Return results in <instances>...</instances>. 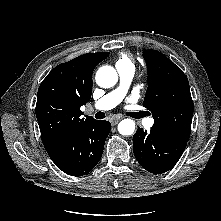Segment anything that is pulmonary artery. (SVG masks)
Here are the masks:
<instances>
[{
	"label": "pulmonary artery",
	"mask_w": 221,
	"mask_h": 221,
	"mask_svg": "<svg viewBox=\"0 0 221 221\" xmlns=\"http://www.w3.org/2000/svg\"><path fill=\"white\" fill-rule=\"evenodd\" d=\"M119 78H120V85L114 89L113 91L106 94L102 97L95 105V108L101 111H106L109 109L114 108L117 106L125 97L128 86L131 80L134 77V68L125 67V68H117ZM146 127H151L154 124L153 118H147L144 121Z\"/></svg>",
	"instance_id": "obj_1"
}]
</instances>
